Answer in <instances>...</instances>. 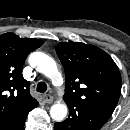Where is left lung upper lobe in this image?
<instances>
[{
    "label": "left lung upper lobe",
    "instance_id": "5c2ea615",
    "mask_svg": "<svg viewBox=\"0 0 130 130\" xmlns=\"http://www.w3.org/2000/svg\"><path fill=\"white\" fill-rule=\"evenodd\" d=\"M56 53L65 70V102L91 106L111 116L122 84L113 59L100 48L80 42H60Z\"/></svg>",
    "mask_w": 130,
    "mask_h": 130
}]
</instances>
